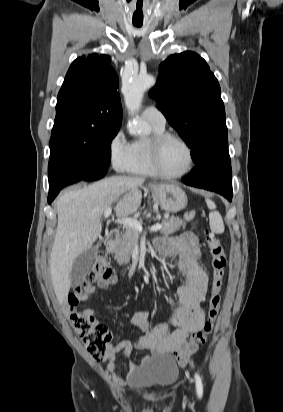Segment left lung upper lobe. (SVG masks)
<instances>
[{
  "label": "left lung upper lobe",
  "mask_w": 283,
  "mask_h": 412,
  "mask_svg": "<svg viewBox=\"0 0 283 412\" xmlns=\"http://www.w3.org/2000/svg\"><path fill=\"white\" fill-rule=\"evenodd\" d=\"M150 95L192 148L195 163L217 150L230 160L220 86L203 58L190 51L171 55L160 65L159 79Z\"/></svg>",
  "instance_id": "left-lung-upper-lobe-1"
}]
</instances>
